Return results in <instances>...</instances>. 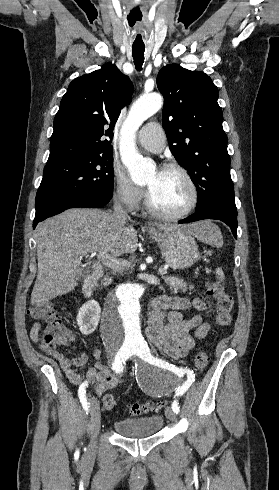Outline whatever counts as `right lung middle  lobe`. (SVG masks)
<instances>
[{
    "mask_svg": "<svg viewBox=\"0 0 279 490\" xmlns=\"http://www.w3.org/2000/svg\"><path fill=\"white\" fill-rule=\"evenodd\" d=\"M113 182V149L47 162L35 205L56 194L84 193L111 199Z\"/></svg>",
    "mask_w": 279,
    "mask_h": 490,
    "instance_id": "right-lung-middle-lobe-1",
    "label": "right lung middle lobe"
}]
</instances>
